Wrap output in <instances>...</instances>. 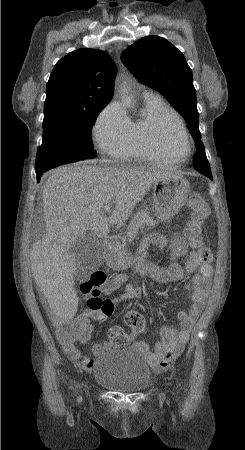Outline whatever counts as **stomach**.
Instances as JSON below:
<instances>
[{
	"label": "stomach",
	"mask_w": 245,
	"mask_h": 450,
	"mask_svg": "<svg viewBox=\"0 0 245 450\" xmlns=\"http://www.w3.org/2000/svg\"><path fill=\"white\" fill-rule=\"evenodd\" d=\"M152 189L156 217L161 222H170L186 203L190 183L182 176H167L157 179ZM107 261L112 268L117 270L126 269L133 263L125 246L111 249Z\"/></svg>",
	"instance_id": "1"
}]
</instances>
